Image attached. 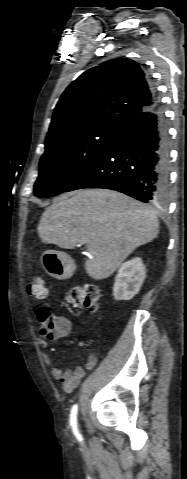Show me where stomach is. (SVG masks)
I'll return each mask as SVG.
<instances>
[{
  "label": "stomach",
  "mask_w": 187,
  "mask_h": 479,
  "mask_svg": "<svg viewBox=\"0 0 187 479\" xmlns=\"http://www.w3.org/2000/svg\"><path fill=\"white\" fill-rule=\"evenodd\" d=\"M41 264L45 271L56 279H67L74 272L73 260L60 251H45L41 256Z\"/></svg>",
  "instance_id": "obj_1"
}]
</instances>
